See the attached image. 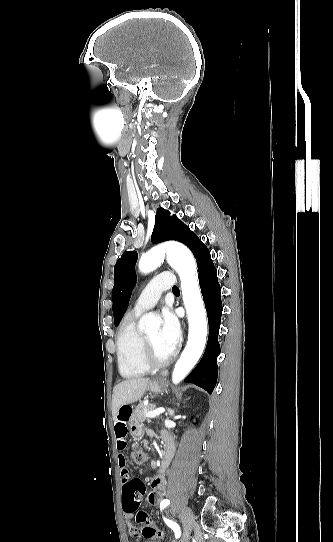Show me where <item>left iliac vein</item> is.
I'll list each match as a JSON object with an SVG mask.
<instances>
[{"label":"left iliac vein","mask_w":333,"mask_h":542,"mask_svg":"<svg viewBox=\"0 0 333 542\" xmlns=\"http://www.w3.org/2000/svg\"><path fill=\"white\" fill-rule=\"evenodd\" d=\"M179 514L181 516V519L183 521V528H184V535L180 542H187L192 530L195 527V517L193 515L192 510L189 507H183Z\"/></svg>","instance_id":"1"}]
</instances>
